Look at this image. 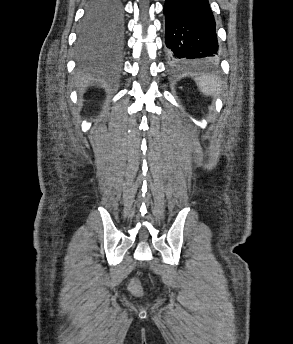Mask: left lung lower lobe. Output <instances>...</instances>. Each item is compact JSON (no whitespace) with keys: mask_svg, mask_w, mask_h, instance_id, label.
I'll list each match as a JSON object with an SVG mask.
<instances>
[{"mask_svg":"<svg viewBox=\"0 0 293 344\" xmlns=\"http://www.w3.org/2000/svg\"><path fill=\"white\" fill-rule=\"evenodd\" d=\"M165 43L174 64L218 56L215 20L208 0H165Z\"/></svg>","mask_w":293,"mask_h":344,"instance_id":"0a47b994","label":"left lung lower lobe"}]
</instances>
